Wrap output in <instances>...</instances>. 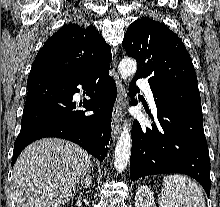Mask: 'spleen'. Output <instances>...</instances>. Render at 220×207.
I'll use <instances>...</instances> for the list:
<instances>
[{
    "instance_id": "1",
    "label": "spleen",
    "mask_w": 220,
    "mask_h": 207,
    "mask_svg": "<svg viewBox=\"0 0 220 207\" xmlns=\"http://www.w3.org/2000/svg\"><path fill=\"white\" fill-rule=\"evenodd\" d=\"M162 207H205L202 189L190 178L173 174L165 179L160 197Z\"/></svg>"
}]
</instances>
